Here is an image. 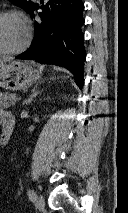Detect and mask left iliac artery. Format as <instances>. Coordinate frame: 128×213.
I'll list each match as a JSON object with an SVG mask.
<instances>
[{
	"label": "left iliac artery",
	"mask_w": 128,
	"mask_h": 213,
	"mask_svg": "<svg viewBox=\"0 0 128 213\" xmlns=\"http://www.w3.org/2000/svg\"><path fill=\"white\" fill-rule=\"evenodd\" d=\"M27 194H28V196H29V198H30V200H32V201H34L35 199H36V193L34 192V190H32V189H29L28 191H27Z\"/></svg>",
	"instance_id": "1"
}]
</instances>
